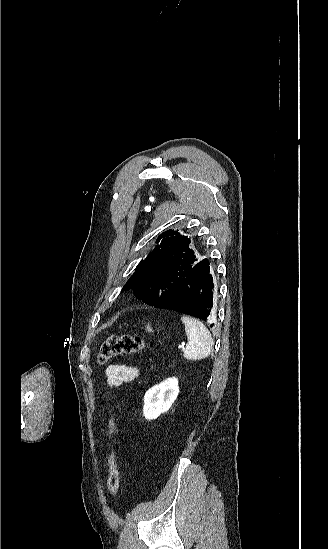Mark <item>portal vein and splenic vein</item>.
Instances as JSON below:
<instances>
[{"instance_id":"obj_1","label":"portal vein and splenic vein","mask_w":328,"mask_h":549,"mask_svg":"<svg viewBox=\"0 0 328 549\" xmlns=\"http://www.w3.org/2000/svg\"><path fill=\"white\" fill-rule=\"evenodd\" d=\"M183 347H184V343L177 345V348H179V350H182Z\"/></svg>"}]
</instances>
